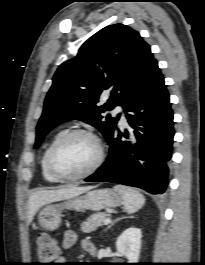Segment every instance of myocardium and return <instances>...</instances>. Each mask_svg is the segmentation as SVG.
<instances>
[{"mask_svg": "<svg viewBox=\"0 0 205 265\" xmlns=\"http://www.w3.org/2000/svg\"><path fill=\"white\" fill-rule=\"evenodd\" d=\"M79 135L89 137L90 139H92L95 142L97 149H98L97 158L94 161V163L84 172H81V173L76 174V175L61 174L53 166V163H52L53 154L56 151V149L63 142H65L67 139L74 137V136H79ZM104 157H105V151H104L103 144H102L100 138L96 134H94L93 132L86 130V129H72V130H68V131L63 132L50 145V147L46 153L45 163H46V167H47L48 172L54 178H56L58 181H78V180L85 179V178L91 176L92 174H94L103 164Z\"/></svg>", "mask_w": 205, "mask_h": 265, "instance_id": "1", "label": "myocardium"}]
</instances>
